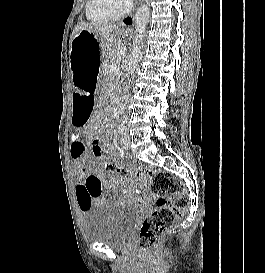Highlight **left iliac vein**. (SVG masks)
<instances>
[{
    "label": "left iliac vein",
    "instance_id": "obj_1",
    "mask_svg": "<svg viewBox=\"0 0 265 273\" xmlns=\"http://www.w3.org/2000/svg\"><path fill=\"white\" fill-rule=\"evenodd\" d=\"M121 144L124 149L128 150L131 147V139L128 134H124L121 138Z\"/></svg>",
    "mask_w": 265,
    "mask_h": 273
}]
</instances>
